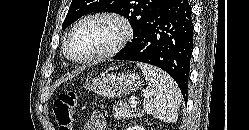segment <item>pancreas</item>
<instances>
[{
    "label": "pancreas",
    "instance_id": "cf45deb5",
    "mask_svg": "<svg viewBox=\"0 0 249 130\" xmlns=\"http://www.w3.org/2000/svg\"><path fill=\"white\" fill-rule=\"evenodd\" d=\"M112 115L117 119L130 117L141 118L143 116V111L132 108L125 102H118L113 106Z\"/></svg>",
    "mask_w": 249,
    "mask_h": 130
}]
</instances>
